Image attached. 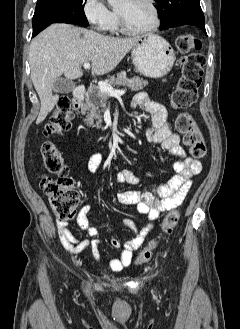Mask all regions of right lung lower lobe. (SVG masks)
Listing matches in <instances>:
<instances>
[{
	"label": "right lung lower lobe",
	"mask_w": 240,
	"mask_h": 329,
	"mask_svg": "<svg viewBox=\"0 0 240 329\" xmlns=\"http://www.w3.org/2000/svg\"><path fill=\"white\" fill-rule=\"evenodd\" d=\"M50 24H52V22H46V23H42L37 25L36 27L33 28V36L37 35L40 31H42L44 28H46L47 26H49Z\"/></svg>",
	"instance_id": "obj_1"
}]
</instances>
